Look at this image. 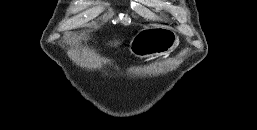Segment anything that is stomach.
Returning <instances> with one entry per match:
<instances>
[{
	"label": "stomach",
	"mask_w": 257,
	"mask_h": 130,
	"mask_svg": "<svg viewBox=\"0 0 257 130\" xmlns=\"http://www.w3.org/2000/svg\"><path fill=\"white\" fill-rule=\"evenodd\" d=\"M179 44V37L170 28L152 25L140 30L130 41L131 54L139 58H153L172 52Z\"/></svg>",
	"instance_id": "obj_1"
}]
</instances>
